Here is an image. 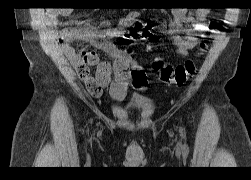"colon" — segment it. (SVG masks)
<instances>
[{"label": "colon", "instance_id": "5ec220e1", "mask_svg": "<svg viewBox=\"0 0 251 180\" xmlns=\"http://www.w3.org/2000/svg\"><path fill=\"white\" fill-rule=\"evenodd\" d=\"M141 41L148 44H155L158 41L156 33L151 31L146 24L135 22L123 36V42ZM205 43H201L197 55L205 51ZM152 68L159 73V78L163 83L182 86L195 73V62L191 59L177 66L168 64L163 58L156 57L152 62Z\"/></svg>", "mask_w": 251, "mask_h": 180}]
</instances>
